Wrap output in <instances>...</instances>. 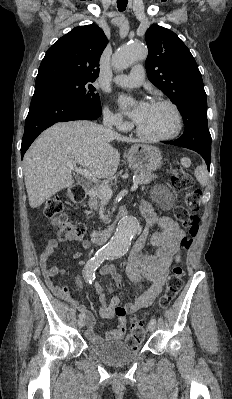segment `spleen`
<instances>
[{"label":"spleen","instance_id":"obj_1","mask_svg":"<svg viewBox=\"0 0 232 399\" xmlns=\"http://www.w3.org/2000/svg\"><path fill=\"white\" fill-rule=\"evenodd\" d=\"M195 178L198 180L199 184L201 186H207L209 176H208V170L206 166H197L195 170Z\"/></svg>","mask_w":232,"mask_h":399}]
</instances>
